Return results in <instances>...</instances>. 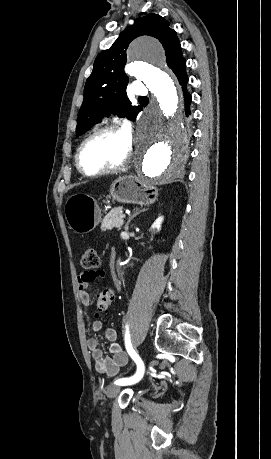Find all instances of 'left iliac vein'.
<instances>
[{
	"instance_id": "left-iliac-vein-1",
	"label": "left iliac vein",
	"mask_w": 271,
	"mask_h": 459,
	"mask_svg": "<svg viewBox=\"0 0 271 459\" xmlns=\"http://www.w3.org/2000/svg\"><path fill=\"white\" fill-rule=\"evenodd\" d=\"M120 391V387L119 385H116V384H111L108 389H107V397L110 398V399H113L117 396V394L119 393Z\"/></svg>"
}]
</instances>
